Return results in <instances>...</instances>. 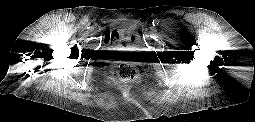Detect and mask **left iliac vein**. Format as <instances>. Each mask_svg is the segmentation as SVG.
Instances as JSON below:
<instances>
[{"label":"left iliac vein","instance_id":"4c4485c4","mask_svg":"<svg viewBox=\"0 0 255 122\" xmlns=\"http://www.w3.org/2000/svg\"><path fill=\"white\" fill-rule=\"evenodd\" d=\"M150 30H151L152 32H154V31H155V27L152 26V27L150 28Z\"/></svg>","mask_w":255,"mask_h":122}]
</instances>
